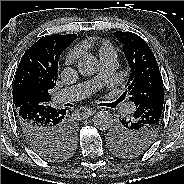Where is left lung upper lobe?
I'll list each match as a JSON object with an SVG mask.
<instances>
[{
  "label": "left lung upper lobe",
  "mask_w": 184,
  "mask_h": 184,
  "mask_svg": "<svg viewBox=\"0 0 184 184\" xmlns=\"http://www.w3.org/2000/svg\"><path fill=\"white\" fill-rule=\"evenodd\" d=\"M114 36L123 44V50L130 67L127 82L128 94L136 108L146 101H155L164 96L163 80L157 61L146 42L132 32H114ZM162 116L153 122L136 125L131 120H120L108 134L114 153L121 157H133L146 151L154 142Z\"/></svg>",
  "instance_id": "1"
}]
</instances>
